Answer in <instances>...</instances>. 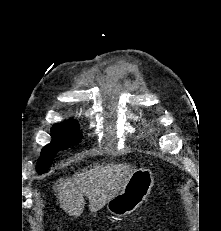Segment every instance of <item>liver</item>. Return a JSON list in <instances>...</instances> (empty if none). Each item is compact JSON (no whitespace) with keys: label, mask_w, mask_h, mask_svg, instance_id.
<instances>
[{"label":"liver","mask_w":221,"mask_h":231,"mask_svg":"<svg viewBox=\"0 0 221 231\" xmlns=\"http://www.w3.org/2000/svg\"><path fill=\"white\" fill-rule=\"evenodd\" d=\"M134 171L127 164L96 166L72 178L59 179L53 190L60 207L69 215L79 217L85 206L84 196L89 200V209L97 212L122 190Z\"/></svg>","instance_id":"liver-1"}]
</instances>
